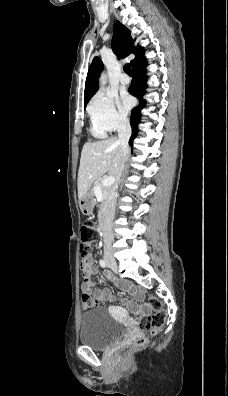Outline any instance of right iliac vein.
Returning a JSON list of instances; mask_svg holds the SVG:
<instances>
[{"instance_id":"obj_1","label":"right iliac vein","mask_w":228,"mask_h":396,"mask_svg":"<svg viewBox=\"0 0 228 396\" xmlns=\"http://www.w3.org/2000/svg\"><path fill=\"white\" fill-rule=\"evenodd\" d=\"M105 260L108 264V266L113 270V271H117L118 270V265L116 260L110 255V254H106L105 255Z\"/></svg>"}]
</instances>
